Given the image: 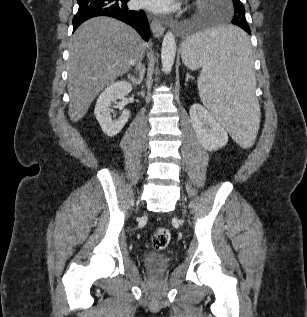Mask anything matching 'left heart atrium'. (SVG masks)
<instances>
[{"label": "left heart atrium", "mask_w": 307, "mask_h": 317, "mask_svg": "<svg viewBox=\"0 0 307 317\" xmlns=\"http://www.w3.org/2000/svg\"><path fill=\"white\" fill-rule=\"evenodd\" d=\"M139 3L156 12H166L175 8L174 0H139Z\"/></svg>", "instance_id": "1"}]
</instances>
